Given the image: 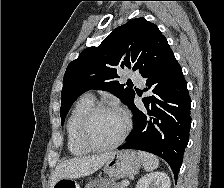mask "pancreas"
Listing matches in <instances>:
<instances>
[{"label": "pancreas", "instance_id": "pancreas-1", "mask_svg": "<svg viewBox=\"0 0 224 188\" xmlns=\"http://www.w3.org/2000/svg\"><path fill=\"white\" fill-rule=\"evenodd\" d=\"M85 188H125V186L115 179L98 178L90 181Z\"/></svg>", "mask_w": 224, "mask_h": 188}]
</instances>
